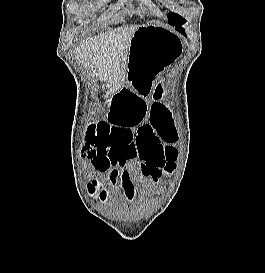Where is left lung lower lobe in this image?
Returning <instances> with one entry per match:
<instances>
[{"mask_svg": "<svg viewBox=\"0 0 265 273\" xmlns=\"http://www.w3.org/2000/svg\"><path fill=\"white\" fill-rule=\"evenodd\" d=\"M184 36H186V34L185 33H182Z\"/></svg>", "mask_w": 265, "mask_h": 273, "instance_id": "left-lung-lower-lobe-1", "label": "left lung lower lobe"}]
</instances>
